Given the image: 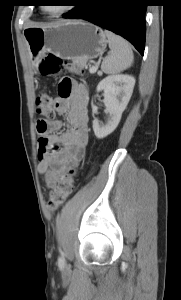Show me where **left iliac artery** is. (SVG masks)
<instances>
[{"label":"left iliac artery","mask_w":181,"mask_h":300,"mask_svg":"<svg viewBox=\"0 0 181 300\" xmlns=\"http://www.w3.org/2000/svg\"><path fill=\"white\" fill-rule=\"evenodd\" d=\"M58 263H59L60 265H63V264H64V258H63V256H60V257L58 258Z\"/></svg>","instance_id":"left-iliac-artery-1"}]
</instances>
